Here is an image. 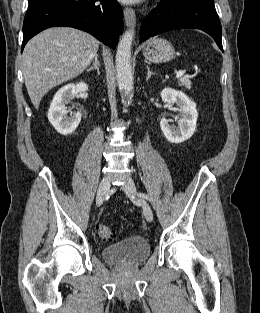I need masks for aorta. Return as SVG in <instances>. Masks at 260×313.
<instances>
[{
  "instance_id": "aorta-1",
  "label": "aorta",
  "mask_w": 260,
  "mask_h": 313,
  "mask_svg": "<svg viewBox=\"0 0 260 313\" xmlns=\"http://www.w3.org/2000/svg\"><path fill=\"white\" fill-rule=\"evenodd\" d=\"M134 31L130 29L122 36L116 53V77L119 91L126 98L132 97L133 74L131 66V47Z\"/></svg>"
}]
</instances>
